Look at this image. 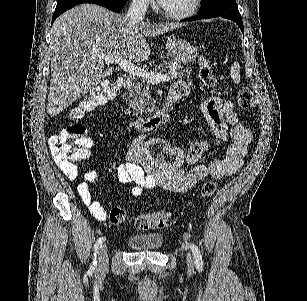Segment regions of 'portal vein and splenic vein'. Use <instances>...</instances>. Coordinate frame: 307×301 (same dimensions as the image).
<instances>
[{
    "instance_id": "portal-vein-and-splenic-vein-1",
    "label": "portal vein and splenic vein",
    "mask_w": 307,
    "mask_h": 301,
    "mask_svg": "<svg viewBox=\"0 0 307 301\" xmlns=\"http://www.w3.org/2000/svg\"><path fill=\"white\" fill-rule=\"evenodd\" d=\"M100 58L105 60L106 64H111V62H117L123 70L129 72V74H133V76H142L145 80H149L152 84H157L160 80H170V76L168 74H160V72H148L145 68H141V66H137V64H133V62H129V60H125L122 56H117V54H98Z\"/></svg>"
}]
</instances>
